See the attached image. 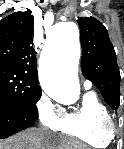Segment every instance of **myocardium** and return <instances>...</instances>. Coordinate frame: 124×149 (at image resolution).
I'll return each instance as SVG.
<instances>
[{
    "instance_id": "obj_1",
    "label": "myocardium",
    "mask_w": 124,
    "mask_h": 149,
    "mask_svg": "<svg viewBox=\"0 0 124 149\" xmlns=\"http://www.w3.org/2000/svg\"><path fill=\"white\" fill-rule=\"evenodd\" d=\"M102 129L105 133L112 137L116 131L114 121L110 117L104 120L102 123Z\"/></svg>"
}]
</instances>
